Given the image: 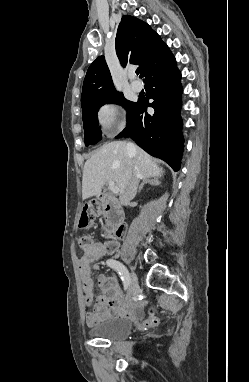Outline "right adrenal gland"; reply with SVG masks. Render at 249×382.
Instances as JSON below:
<instances>
[{
    "instance_id": "1",
    "label": "right adrenal gland",
    "mask_w": 249,
    "mask_h": 382,
    "mask_svg": "<svg viewBox=\"0 0 249 382\" xmlns=\"http://www.w3.org/2000/svg\"><path fill=\"white\" fill-rule=\"evenodd\" d=\"M147 183H149L151 185H158L159 184V180L157 178H155V177L154 178H146V179H144L142 181V183L140 184V186H139L138 193H140V191L142 190L143 186L145 184H147Z\"/></svg>"
}]
</instances>
